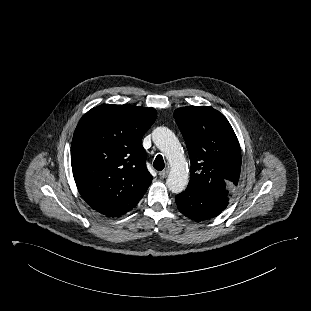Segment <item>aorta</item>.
I'll list each match as a JSON object with an SVG mask.
<instances>
[{"label": "aorta", "mask_w": 311, "mask_h": 311, "mask_svg": "<svg viewBox=\"0 0 311 311\" xmlns=\"http://www.w3.org/2000/svg\"><path fill=\"white\" fill-rule=\"evenodd\" d=\"M152 140L167 158L171 170L166 185L172 193H181L188 184V168L184 152L175 134L167 127H157L152 133Z\"/></svg>", "instance_id": "aorta-1"}]
</instances>
